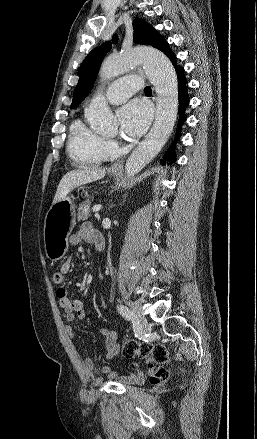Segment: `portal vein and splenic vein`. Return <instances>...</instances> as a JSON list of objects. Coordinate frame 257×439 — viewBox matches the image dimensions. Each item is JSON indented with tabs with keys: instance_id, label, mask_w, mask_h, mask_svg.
<instances>
[{
	"instance_id": "18ae733b",
	"label": "portal vein and splenic vein",
	"mask_w": 257,
	"mask_h": 439,
	"mask_svg": "<svg viewBox=\"0 0 257 439\" xmlns=\"http://www.w3.org/2000/svg\"><path fill=\"white\" fill-rule=\"evenodd\" d=\"M102 206L100 204H97L95 206H93L92 211L93 212H99L101 210Z\"/></svg>"
}]
</instances>
